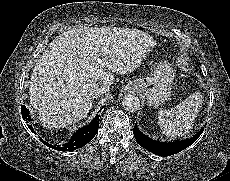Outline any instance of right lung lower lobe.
Here are the masks:
<instances>
[{
	"label": "right lung lower lobe",
	"instance_id": "obj_1",
	"mask_svg": "<svg viewBox=\"0 0 230 181\" xmlns=\"http://www.w3.org/2000/svg\"><path fill=\"white\" fill-rule=\"evenodd\" d=\"M21 111H22L23 119H25L28 122L31 121V118L29 116V111L28 109H26L24 105L21 106ZM28 127L33 133H35L31 124H29ZM98 128H99V115L97 114L89 125L79 129L76 133L73 134L71 139L67 143L63 144L62 146L60 145L52 146L49 143L43 141L42 139H40V141L46 146L59 151H73L83 147L85 144L90 142L93 139V137L96 135Z\"/></svg>",
	"mask_w": 230,
	"mask_h": 181
}]
</instances>
